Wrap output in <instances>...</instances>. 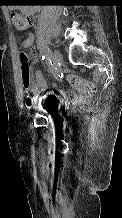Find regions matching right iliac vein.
<instances>
[{
	"instance_id": "1",
	"label": "right iliac vein",
	"mask_w": 122,
	"mask_h": 218,
	"mask_svg": "<svg viewBox=\"0 0 122 218\" xmlns=\"http://www.w3.org/2000/svg\"><path fill=\"white\" fill-rule=\"evenodd\" d=\"M50 59L54 63L55 67H59L60 65H62L63 59L60 52L54 50L53 53H50Z\"/></svg>"
}]
</instances>
